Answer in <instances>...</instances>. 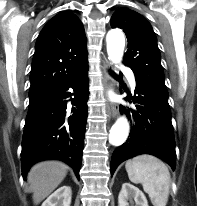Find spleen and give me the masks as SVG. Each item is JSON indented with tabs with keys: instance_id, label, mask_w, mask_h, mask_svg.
<instances>
[{
	"instance_id": "3e777b00",
	"label": "spleen",
	"mask_w": 197,
	"mask_h": 206,
	"mask_svg": "<svg viewBox=\"0 0 197 206\" xmlns=\"http://www.w3.org/2000/svg\"><path fill=\"white\" fill-rule=\"evenodd\" d=\"M129 180L141 184L153 206H166L171 177L168 167L156 157L139 155L125 164Z\"/></svg>"
}]
</instances>
